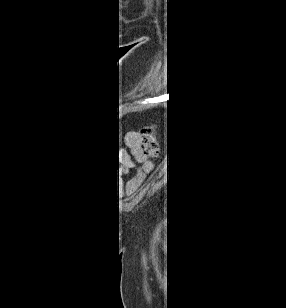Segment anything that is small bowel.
I'll list each match as a JSON object with an SVG mask.
<instances>
[{
    "instance_id": "obj_1",
    "label": "small bowel",
    "mask_w": 286,
    "mask_h": 308,
    "mask_svg": "<svg viewBox=\"0 0 286 308\" xmlns=\"http://www.w3.org/2000/svg\"><path fill=\"white\" fill-rule=\"evenodd\" d=\"M136 140H137V134L136 133L130 132V133L127 134V141H128V143H130L131 145H135ZM144 167H145V169L147 171H150L149 163H145Z\"/></svg>"
}]
</instances>
